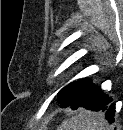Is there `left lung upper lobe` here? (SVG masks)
Masks as SVG:
<instances>
[{
	"instance_id": "obj_1",
	"label": "left lung upper lobe",
	"mask_w": 123,
	"mask_h": 130,
	"mask_svg": "<svg viewBox=\"0 0 123 130\" xmlns=\"http://www.w3.org/2000/svg\"><path fill=\"white\" fill-rule=\"evenodd\" d=\"M87 81L72 82L62 88L57 95V101L61 104V107H75L80 101Z\"/></svg>"
}]
</instances>
